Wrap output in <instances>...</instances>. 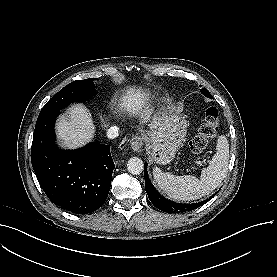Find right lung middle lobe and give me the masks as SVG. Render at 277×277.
Segmentation results:
<instances>
[{"label": "right lung middle lobe", "instance_id": "right-lung-middle-lobe-1", "mask_svg": "<svg viewBox=\"0 0 277 277\" xmlns=\"http://www.w3.org/2000/svg\"><path fill=\"white\" fill-rule=\"evenodd\" d=\"M93 80H95V78L69 83L45 104L39 115L47 112L58 111L74 102L88 100L95 93Z\"/></svg>", "mask_w": 277, "mask_h": 277}]
</instances>
